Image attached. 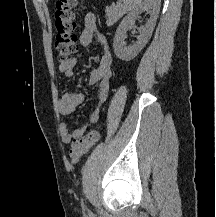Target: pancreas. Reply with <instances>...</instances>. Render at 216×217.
Wrapping results in <instances>:
<instances>
[{
    "mask_svg": "<svg viewBox=\"0 0 216 217\" xmlns=\"http://www.w3.org/2000/svg\"><path fill=\"white\" fill-rule=\"evenodd\" d=\"M125 14L124 7L121 4L112 5L106 9V24L112 26Z\"/></svg>",
    "mask_w": 216,
    "mask_h": 217,
    "instance_id": "obj_1",
    "label": "pancreas"
}]
</instances>
